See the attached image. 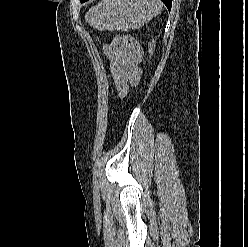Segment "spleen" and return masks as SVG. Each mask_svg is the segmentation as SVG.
Returning <instances> with one entry per match:
<instances>
[{
    "label": "spleen",
    "instance_id": "obj_1",
    "mask_svg": "<svg viewBox=\"0 0 248 247\" xmlns=\"http://www.w3.org/2000/svg\"><path fill=\"white\" fill-rule=\"evenodd\" d=\"M162 10L161 0H102L85 15L86 22L103 31L139 29Z\"/></svg>",
    "mask_w": 248,
    "mask_h": 247
}]
</instances>
